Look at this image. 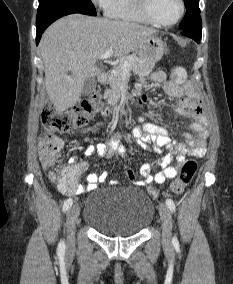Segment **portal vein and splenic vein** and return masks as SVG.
Returning a JSON list of instances; mask_svg holds the SVG:
<instances>
[{"label": "portal vein and splenic vein", "instance_id": "portal-vein-and-splenic-vein-1", "mask_svg": "<svg viewBox=\"0 0 233 284\" xmlns=\"http://www.w3.org/2000/svg\"><path fill=\"white\" fill-rule=\"evenodd\" d=\"M112 53H113V49L109 48L107 51H105L104 53L99 55L97 58L98 59H107L112 55ZM127 66H128V63L124 62L123 67H124L125 70H126Z\"/></svg>", "mask_w": 233, "mask_h": 284}]
</instances>
